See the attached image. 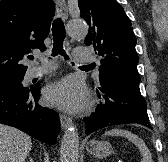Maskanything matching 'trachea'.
I'll use <instances>...</instances> for the list:
<instances>
[{"instance_id": "3493384b", "label": "trachea", "mask_w": 168, "mask_h": 162, "mask_svg": "<svg viewBox=\"0 0 168 162\" xmlns=\"http://www.w3.org/2000/svg\"><path fill=\"white\" fill-rule=\"evenodd\" d=\"M52 34H53V49H52V56L56 55H63L66 60L69 59V57L65 54V51L63 49V42L66 36L65 33V27L60 18H57L53 22L52 26ZM29 59H33V56H30ZM83 67H92V65H87Z\"/></svg>"}]
</instances>
